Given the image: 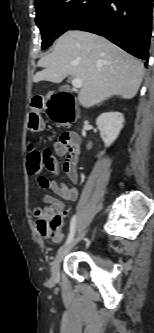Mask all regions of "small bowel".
Here are the masks:
<instances>
[{"label":"small bowel","instance_id":"small-bowel-1","mask_svg":"<svg viewBox=\"0 0 154 333\" xmlns=\"http://www.w3.org/2000/svg\"><path fill=\"white\" fill-rule=\"evenodd\" d=\"M41 154L43 165L48 171L55 175L59 173V165L55 155L65 157L63 163L65 174L73 184L78 182L77 162L80 154V138L77 134L73 132L63 133L54 143L53 150L45 149ZM38 183L42 189L52 193L44 195V202L49 205L52 210L59 212L61 217L66 216L67 210L65 209L63 201H76L78 198L77 188L68 187L60 181L48 179L43 176L38 178ZM60 239L61 237L56 241Z\"/></svg>","mask_w":154,"mask_h":333}]
</instances>
